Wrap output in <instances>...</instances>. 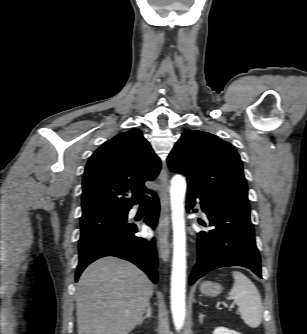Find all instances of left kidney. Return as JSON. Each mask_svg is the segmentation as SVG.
I'll use <instances>...</instances> for the list:
<instances>
[{"label":"left kidney","instance_id":"obj_1","mask_svg":"<svg viewBox=\"0 0 307 334\" xmlns=\"http://www.w3.org/2000/svg\"><path fill=\"white\" fill-rule=\"evenodd\" d=\"M213 334H241V333H238L234 330H229L227 328H224V327H217Z\"/></svg>","mask_w":307,"mask_h":334}]
</instances>
